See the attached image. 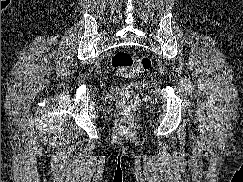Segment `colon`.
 Returning a JSON list of instances; mask_svg holds the SVG:
<instances>
[{"label": "colon", "instance_id": "obj_1", "mask_svg": "<svg viewBox=\"0 0 243 182\" xmlns=\"http://www.w3.org/2000/svg\"><path fill=\"white\" fill-rule=\"evenodd\" d=\"M111 66L117 75L130 77L136 73L148 72L152 67V60L147 56L135 59L130 53L120 51L112 57ZM119 97L124 113L131 115L140 102L139 95L132 90L121 89Z\"/></svg>", "mask_w": 243, "mask_h": 182}]
</instances>
